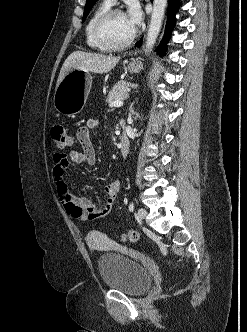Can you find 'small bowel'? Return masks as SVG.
I'll list each match as a JSON object with an SVG mask.
<instances>
[{
  "instance_id": "obj_1",
  "label": "small bowel",
  "mask_w": 247,
  "mask_h": 332,
  "mask_svg": "<svg viewBox=\"0 0 247 332\" xmlns=\"http://www.w3.org/2000/svg\"><path fill=\"white\" fill-rule=\"evenodd\" d=\"M98 123L97 119L92 118L78 129L77 139L80 143L81 151L72 149L68 155L62 153L54 155L52 175L59 198L67 214L73 219L83 222L94 221L106 216L111 211L120 190V182L118 180L110 183L106 187L105 202L97 206L88 197L71 194L65 180V170L70 162L87 166L96 164V155L90 140V134L98 126Z\"/></svg>"
}]
</instances>
